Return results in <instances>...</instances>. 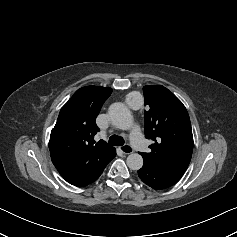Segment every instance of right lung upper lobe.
<instances>
[{
    "label": "right lung upper lobe",
    "instance_id": "right-lung-upper-lobe-1",
    "mask_svg": "<svg viewBox=\"0 0 237 237\" xmlns=\"http://www.w3.org/2000/svg\"><path fill=\"white\" fill-rule=\"evenodd\" d=\"M111 92V88L86 86L74 93L62 107L51 131V158L61 157L78 167L92 168L112 157L113 147L94 141L99 131L95 119Z\"/></svg>",
    "mask_w": 237,
    "mask_h": 237
}]
</instances>
